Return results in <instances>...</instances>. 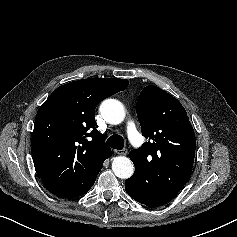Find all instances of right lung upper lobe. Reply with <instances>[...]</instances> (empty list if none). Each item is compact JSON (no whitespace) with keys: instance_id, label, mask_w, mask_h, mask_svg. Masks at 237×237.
<instances>
[{"instance_id":"right-lung-upper-lobe-1","label":"right lung upper lobe","mask_w":237,"mask_h":237,"mask_svg":"<svg viewBox=\"0 0 237 237\" xmlns=\"http://www.w3.org/2000/svg\"><path fill=\"white\" fill-rule=\"evenodd\" d=\"M128 80L90 78L58 87L37 112L31 152L37 174L61 198L86 194L103 162L112 155L96 129L94 110L106 97L128 87Z\"/></svg>"}]
</instances>
